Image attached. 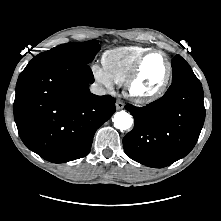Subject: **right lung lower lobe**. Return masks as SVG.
<instances>
[{
	"label": "right lung lower lobe",
	"mask_w": 221,
	"mask_h": 221,
	"mask_svg": "<svg viewBox=\"0 0 221 221\" xmlns=\"http://www.w3.org/2000/svg\"><path fill=\"white\" fill-rule=\"evenodd\" d=\"M88 64L31 60L19 75L14 119L23 143L42 158L64 163L86 156L96 130L115 112V99L89 91Z\"/></svg>",
	"instance_id": "obj_1"
}]
</instances>
